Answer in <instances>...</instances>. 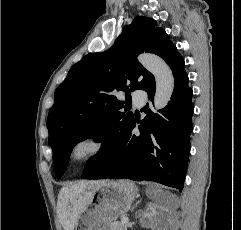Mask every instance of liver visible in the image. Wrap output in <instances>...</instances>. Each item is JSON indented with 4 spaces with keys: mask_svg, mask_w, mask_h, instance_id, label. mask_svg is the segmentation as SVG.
Returning a JSON list of instances; mask_svg holds the SVG:
<instances>
[{
    "mask_svg": "<svg viewBox=\"0 0 241 230\" xmlns=\"http://www.w3.org/2000/svg\"><path fill=\"white\" fill-rule=\"evenodd\" d=\"M93 191H87V185L64 187L59 192L58 214L65 230H74L79 215L87 206Z\"/></svg>",
    "mask_w": 241,
    "mask_h": 230,
    "instance_id": "liver-1",
    "label": "liver"
}]
</instances>
